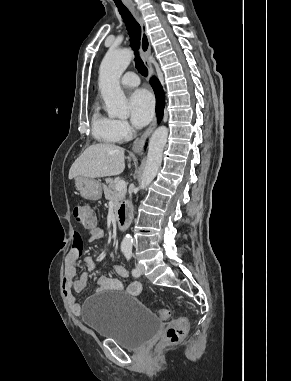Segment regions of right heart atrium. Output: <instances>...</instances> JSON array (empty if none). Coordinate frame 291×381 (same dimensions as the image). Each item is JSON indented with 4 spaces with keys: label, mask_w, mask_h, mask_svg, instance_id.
<instances>
[{
    "label": "right heart atrium",
    "mask_w": 291,
    "mask_h": 381,
    "mask_svg": "<svg viewBox=\"0 0 291 381\" xmlns=\"http://www.w3.org/2000/svg\"><path fill=\"white\" fill-rule=\"evenodd\" d=\"M115 127L122 139L131 134V127L125 120H115Z\"/></svg>",
    "instance_id": "1"
}]
</instances>
